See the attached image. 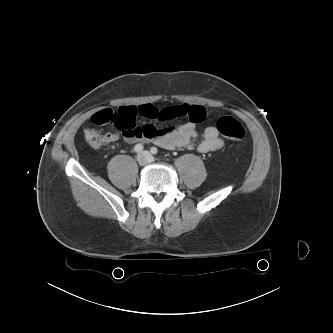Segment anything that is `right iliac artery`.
<instances>
[{
	"mask_svg": "<svg viewBox=\"0 0 333 333\" xmlns=\"http://www.w3.org/2000/svg\"><path fill=\"white\" fill-rule=\"evenodd\" d=\"M143 150V145L142 144H136L134 147V151L136 153H140Z\"/></svg>",
	"mask_w": 333,
	"mask_h": 333,
	"instance_id": "1",
	"label": "right iliac artery"
}]
</instances>
